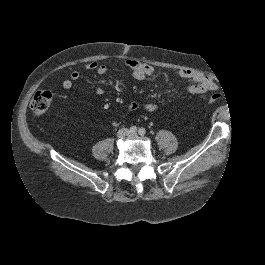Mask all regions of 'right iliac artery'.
Instances as JSON below:
<instances>
[{"label": "right iliac artery", "instance_id": "82829eb1", "mask_svg": "<svg viewBox=\"0 0 265 265\" xmlns=\"http://www.w3.org/2000/svg\"><path fill=\"white\" fill-rule=\"evenodd\" d=\"M136 131H137V127L136 126H132L129 129V132H131V133H135Z\"/></svg>", "mask_w": 265, "mask_h": 265}]
</instances>
